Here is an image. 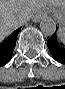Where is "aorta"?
<instances>
[{"label":"aorta","mask_w":65,"mask_h":89,"mask_svg":"<svg viewBox=\"0 0 65 89\" xmlns=\"http://www.w3.org/2000/svg\"><path fill=\"white\" fill-rule=\"evenodd\" d=\"M40 30L47 36L53 35L56 31L55 21L51 17H43L40 21Z\"/></svg>","instance_id":"1"}]
</instances>
